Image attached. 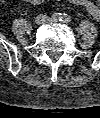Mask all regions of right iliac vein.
I'll list each match as a JSON object with an SVG mask.
<instances>
[{"label":"right iliac vein","mask_w":100,"mask_h":118,"mask_svg":"<svg viewBox=\"0 0 100 118\" xmlns=\"http://www.w3.org/2000/svg\"><path fill=\"white\" fill-rule=\"evenodd\" d=\"M43 22V18H39L38 19V23L40 24V23H42Z\"/></svg>","instance_id":"1"}]
</instances>
